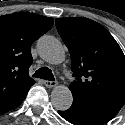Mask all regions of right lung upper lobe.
Instances as JSON below:
<instances>
[{"label": "right lung upper lobe", "instance_id": "obj_1", "mask_svg": "<svg viewBox=\"0 0 125 125\" xmlns=\"http://www.w3.org/2000/svg\"><path fill=\"white\" fill-rule=\"evenodd\" d=\"M52 26V18L35 13L0 16V99L26 92L35 83L28 72L31 45Z\"/></svg>", "mask_w": 125, "mask_h": 125}]
</instances>
